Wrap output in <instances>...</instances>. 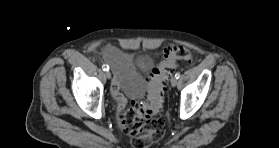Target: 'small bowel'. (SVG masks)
<instances>
[{
  "label": "small bowel",
  "mask_w": 279,
  "mask_h": 148,
  "mask_svg": "<svg viewBox=\"0 0 279 148\" xmlns=\"http://www.w3.org/2000/svg\"><path fill=\"white\" fill-rule=\"evenodd\" d=\"M104 59L114 70L112 95L116 100L117 109L120 112L126 105V98L123 92L129 98L137 99L143 90V80L129 64L127 58L116 48H107L104 51Z\"/></svg>",
  "instance_id": "1"
}]
</instances>
